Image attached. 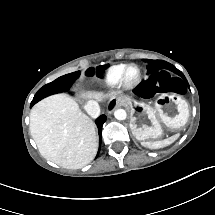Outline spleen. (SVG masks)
<instances>
[{"instance_id":"1","label":"spleen","mask_w":215,"mask_h":215,"mask_svg":"<svg viewBox=\"0 0 215 215\" xmlns=\"http://www.w3.org/2000/svg\"><path fill=\"white\" fill-rule=\"evenodd\" d=\"M180 136V133H176L173 136H170L168 138H165L163 140H157V141H143L141 144L149 149H159L164 148L166 146H169L170 144L174 143Z\"/></svg>"}]
</instances>
